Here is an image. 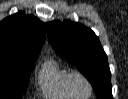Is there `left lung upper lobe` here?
<instances>
[{"label": "left lung upper lobe", "instance_id": "left-lung-upper-lobe-1", "mask_svg": "<svg viewBox=\"0 0 128 99\" xmlns=\"http://www.w3.org/2000/svg\"><path fill=\"white\" fill-rule=\"evenodd\" d=\"M49 42L59 55L85 75L98 99H113L111 73L98 37L81 23H46Z\"/></svg>", "mask_w": 128, "mask_h": 99}]
</instances>
